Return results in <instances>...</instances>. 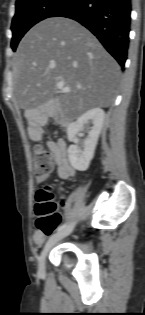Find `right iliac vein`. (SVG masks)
<instances>
[{"instance_id": "obj_1", "label": "right iliac vein", "mask_w": 145, "mask_h": 315, "mask_svg": "<svg viewBox=\"0 0 145 315\" xmlns=\"http://www.w3.org/2000/svg\"><path fill=\"white\" fill-rule=\"evenodd\" d=\"M74 228V224L69 225L65 229L59 231L58 233L52 235L47 243L45 244L39 258H38V272L40 275H44L45 273V259L49 252V250L61 239L68 236Z\"/></svg>"}]
</instances>
